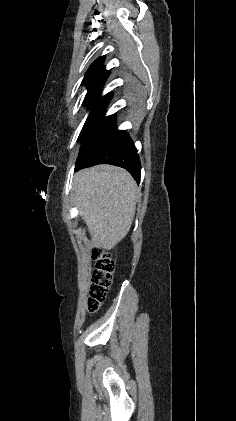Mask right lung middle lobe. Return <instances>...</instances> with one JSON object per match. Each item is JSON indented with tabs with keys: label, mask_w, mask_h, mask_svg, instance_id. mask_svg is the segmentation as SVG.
Returning a JSON list of instances; mask_svg holds the SVG:
<instances>
[{
	"label": "right lung middle lobe",
	"mask_w": 236,
	"mask_h": 421,
	"mask_svg": "<svg viewBox=\"0 0 236 421\" xmlns=\"http://www.w3.org/2000/svg\"><path fill=\"white\" fill-rule=\"evenodd\" d=\"M101 89L88 91L83 104L90 108V113L86 119L83 130L79 135L82 144L105 122L108 117H105L106 107L112 97L111 93L101 97Z\"/></svg>",
	"instance_id": "dd1d6c3e"
}]
</instances>
